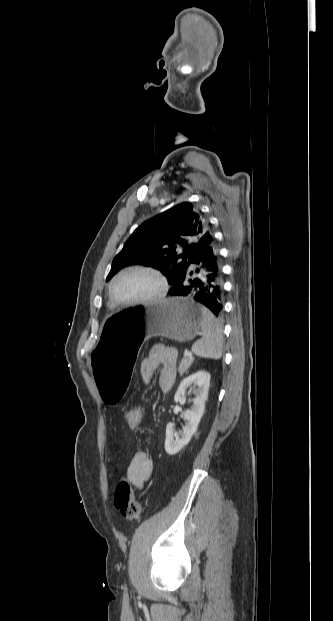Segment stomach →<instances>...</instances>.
I'll return each mask as SVG.
<instances>
[{
  "label": "stomach",
  "mask_w": 333,
  "mask_h": 621,
  "mask_svg": "<svg viewBox=\"0 0 333 621\" xmlns=\"http://www.w3.org/2000/svg\"><path fill=\"white\" fill-rule=\"evenodd\" d=\"M202 306L174 297L138 305L107 316L93 346L92 378L103 397L102 408L114 412L133 384L135 361L142 339L166 337L192 340L201 330Z\"/></svg>",
  "instance_id": "1"
}]
</instances>
